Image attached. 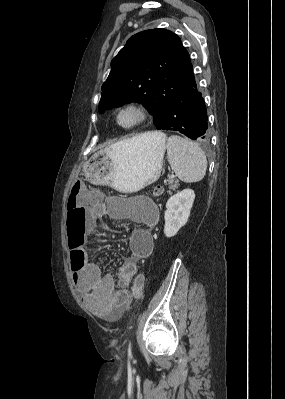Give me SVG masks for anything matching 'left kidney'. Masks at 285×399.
<instances>
[{
    "instance_id": "left-kidney-1",
    "label": "left kidney",
    "mask_w": 285,
    "mask_h": 399,
    "mask_svg": "<svg viewBox=\"0 0 285 399\" xmlns=\"http://www.w3.org/2000/svg\"><path fill=\"white\" fill-rule=\"evenodd\" d=\"M195 199L192 189H184L171 196L166 203L164 234L173 237L183 227L189 218Z\"/></svg>"
}]
</instances>
